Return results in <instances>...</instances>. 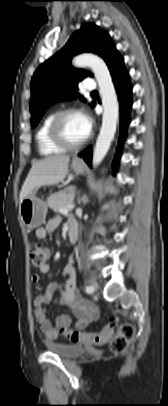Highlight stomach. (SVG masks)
<instances>
[{
    "instance_id": "obj_1",
    "label": "stomach",
    "mask_w": 168,
    "mask_h": 406,
    "mask_svg": "<svg viewBox=\"0 0 168 406\" xmlns=\"http://www.w3.org/2000/svg\"><path fill=\"white\" fill-rule=\"evenodd\" d=\"M71 168L76 174H84L86 171L85 163L77 158L73 159ZM36 192L33 190L19 205L21 220L30 229L41 226L47 213L45 202L36 196Z\"/></svg>"
}]
</instances>
